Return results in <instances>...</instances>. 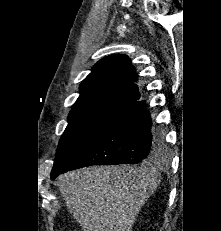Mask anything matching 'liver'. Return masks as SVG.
I'll return each instance as SVG.
<instances>
[{
    "label": "liver",
    "instance_id": "obj_1",
    "mask_svg": "<svg viewBox=\"0 0 221 231\" xmlns=\"http://www.w3.org/2000/svg\"><path fill=\"white\" fill-rule=\"evenodd\" d=\"M158 176L145 166H92L60 176L58 182L83 231H131Z\"/></svg>",
    "mask_w": 221,
    "mask_h": 231
}]
</instances>
